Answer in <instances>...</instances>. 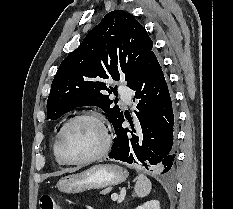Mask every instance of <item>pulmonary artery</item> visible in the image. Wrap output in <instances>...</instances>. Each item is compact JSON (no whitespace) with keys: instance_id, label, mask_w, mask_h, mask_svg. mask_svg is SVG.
I'll list each match as a JSON object with an SVG mask.
<instances>
[{"instance_id":"obj_1","label":"pulmonary artery","mask_w":233,"mask_h":209,"mask_svg":"<svg viewBox=\"0 0 233 209\" xmlns=\"http://www.w3.org/2000/svg\"><path fill=\"white\" fill-rule=\"evenodd\" d=\"M119 93L122 97V99L127 103V104H130L131 103V94H132V91L124 86V85H120L119 86Z\"/></svg>"}]
</instances>
